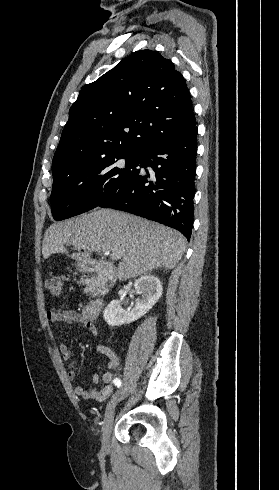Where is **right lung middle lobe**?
I'll return each instance as SVG.
<instances>
[{
	"label": "right lung middle lobe",
	"mask_w": 279,
	"mask_h": 490,
	"mask_svg": "<svg viewBox=\"0 0 279 490\" xmlns=\"http://www.w3.org/2000/svg\"><path fill=\"white\" fill-rule=\"evenodd\" d=\"M140 159L141 156L112 151L65 176L53 178V218L60 221L98 207L123 184L139 175Z\"/></svg>",
	"instance_id": "right-lung-middle-lobe-1"
}]
</instances>
